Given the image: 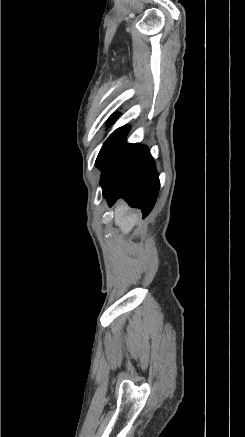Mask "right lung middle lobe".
<instances>
[{"label": "right lung middle lobe", "instance_id": "obj_1", "mask_svg": "<svg viewBox=\"0 0 245 437\" xmlns=\"http://www.w3.org/2000/svg\"><path fill=\"white\" fill-rule=\"evenodd\" d=\"M119 116L118 113H113L110 117V121H114ZM129 126H123L118 128L116 131H114L108 139L103 144L97 159H96V165L101 169L102 166L105 164V162L109 159L110 155L113 153V151L117 148V146L122 142V140L125 138L127 132L129 131Z\"/></svg>", "mask_w": 245, "mask_h": 437}]
</instances>
